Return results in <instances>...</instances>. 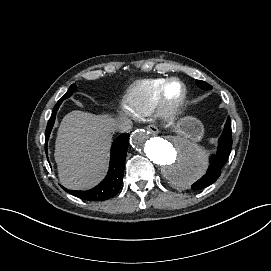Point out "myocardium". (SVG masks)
Returning a JSON list of instances; mask_svg holds the SVG:
<instances>
[{"instance_id": "f54148a6", "label": "myocardium", "mask_w": 271, "mask_h": 271, "mask_svg": "<svg viewBox=\"0 0 271 271\" xmlns=\"http://www.w3.org/2000/svg\"><path fill=\"white\" fill-rule=\"evenodd\" d=\"M173 84H179L182 90L178 94H172L170 89ZM189 95L187 84L178 77L169 78L161 91L160 109L164 117H172L177 114L185 104Z\"/></svg>"}]
</instances>
